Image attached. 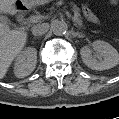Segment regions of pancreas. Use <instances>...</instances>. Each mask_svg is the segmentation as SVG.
I'll list each match as a JSON object with an SVG mask.
<instances>
[{"mask_svg": "<svg viewBox=\"0 0 119 119\" xmlns=\"http://www.w3.org/2000/svg\"><path fill=\"white\" fill-rule=\"evenodd\" d=\"M73 21L75 22V26L81 28L83 26L82 24V19L80 17V14L78 12L77 8H74V16H73Z\"/></svg>", "mask_w": 119, "mask_h": 119, "instance_id": "cf45deb5", "label": "pancreas"}]
</instances>
